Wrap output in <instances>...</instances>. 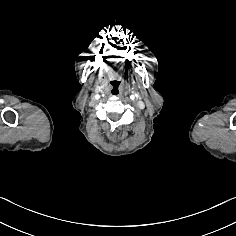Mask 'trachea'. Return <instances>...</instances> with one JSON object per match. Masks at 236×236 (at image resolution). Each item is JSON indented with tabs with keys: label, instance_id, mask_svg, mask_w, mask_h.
Returning a JSON list of instances; mask_svg holds the SVG:
<instances>
[{
	"label": "trachea",
	"instance_id": "obj_1",
	"mask_svg": "<svg viewBox=\"0 0 236 236\" xmlns=\"http://www.w3.org/2000/svg\"><path fill=\"white\" fill-rule=\"evenodd\" d=\"M109 89H110V93L113 96H118L121 93V87H120V84L117 81H112L109 84Z\"/></svg>",
	"mask_w": 236,
	"mask_h": 236
}]
</instances>
